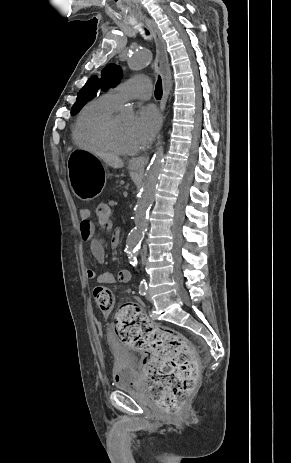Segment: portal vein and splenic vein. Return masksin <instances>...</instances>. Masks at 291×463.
<instances>
[{
  "label": "portal vein and splenic vein",
  "instance_id": "1",
  "mask_svg": "<svg viewBox=\"0 0 291 463\" xmlns=\"http://www.w3.org/2000/svg\"><path fill=\"white\" fill-rule=\"evenodd\" d=\"M123 195L126 197L128 195V192L127 191H124L123 192Z\"/></svg>",
  "mask_w": 291,
  "mask_h": 463
}]
</instances>
